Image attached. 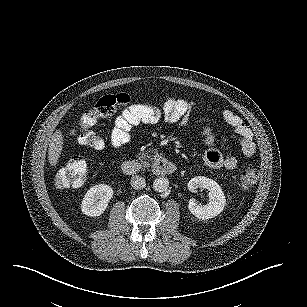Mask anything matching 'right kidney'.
<instances>
[{"label":"right kidney","instance_id":"obj_1","mask_svg":"<svg viewBox=\"0 0 307 307\" xmlns=\"http://www.w3.org/2000/svg\"><path fill=\"white\" fill-rule=\"evenodd\" d=\"M113 196L110 186L99 184L93 186L83 198L82 212L88 216H99L106 209Z\"/></svg>","mask_w":307,"mask_h":307}]
</instances>
